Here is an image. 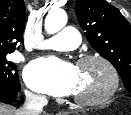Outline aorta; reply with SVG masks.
I'll list each match as a JSON object with an SVG mask.
<instances>
[{
  "instance_id": "obj_1",
  "label": "aorta",
  "mask_w": 131,
  "mask_h": 115,
  "mask_svg": "<svg viewBox=\"0 0 131 115\" xmlns=\"http://www.w3.org/2000/svg\"><path fill=\"white\" fill-rule=\"evenodd\" d=\"M67 23V15L62 10L50 11L45 19V30L49 34L60 31Z\"/></svg>"
}]
</instances>
